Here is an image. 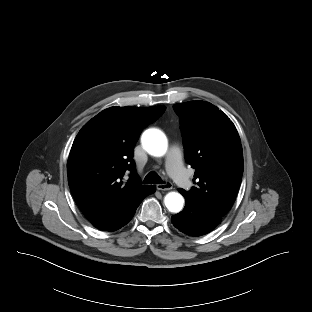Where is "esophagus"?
Masks as SVG:
<instances>
[{"label":"esophagus","mask_w":312,"mask_h":312,"mask_svg":"<svg viewBox=\"0 0 312 312\" xmlns=\"http://www.w3.org/2000/svg\"><path fill=\"white\" fill-rule=\"evenodd\" d=\"M156 187L158 190H171L173 185L171 182H166L163 184H158Z\"/></svg>","instance_id":"obj_1"}]
</instances>
